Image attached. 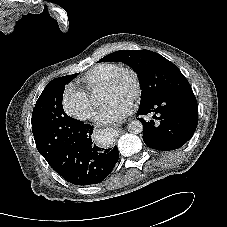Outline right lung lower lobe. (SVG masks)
Instances as JSON below:
<instances>
[{
  "instance_id": "1",
  "label": "right lung lower lobe",
  "mask_w": 227,
  "mask_h": 227,
  "mask_svg": "<svg viewBox=\"0 0 227 227\" xmlns=\"http://www.w3.org/2000/svg\"><path fill=\"white\" fill-rule=\"evenodd\" d=\"M93 127L74 119L67 128L66 139L46 161L65 180L75 185H91L103 181L119 158L117 146L109 149L93 144Z\"/></svg>"
}]
</instances>
